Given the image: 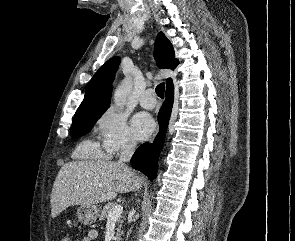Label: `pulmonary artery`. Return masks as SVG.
<instances>
[{"instance_id": "pulmonary-artery-1", "label": "pulmonary artery", "mask_w": 295, "mask_h": 241, "mask_svg": "<svg viewBox=\"0 0 295 241\" xmlns=\"http://www.w3.org/2000/svg\"><path fill=\"white\" fill-rule=\"evenodd\" d=\"M140 105L145 109H153L156 105L154 91L151 89L146 90L139 99Z\"/></svg>"}]
</instances>
